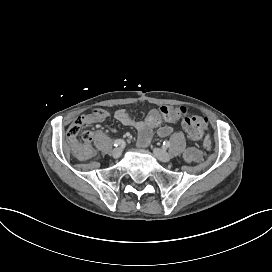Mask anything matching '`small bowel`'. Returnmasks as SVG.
Segmentation results:
<instances>
[{
  "mask_svg": "<svg viewBox=\"0 0 272 272\" xmlns=\"http://www.w3.org/2000/svg\"><path fill=\"white\" fill-rule=\"evenodd\" d=\"M110 116L109 112L101 109L95 108L88 113H84L74 121H80L84 125H94L103 122ZM114 118L119 121L121 124L134 128L138 132V143L140 145H145L151 138L152 129L157 127L161 120H165L168 123H176L179 119L178 109L174 107H161L159 111H151L145 120H136L133 116L124 109H118L114 112ZM114 130V129H111ZM173 132V128L170 125L160 126L157 130V134L160 137H167L171 135ZM67 136L69 141L75 146H87L90 147V143L93 139L92 132H85L82 136L84 140V144H80L77 138H73L67 132ZM91 148V147H90ZM185 157L189 161H196L199 158V152L190 148L186 151Z\"/></svg>",
  "mask_w": 272,
  "mask_h": 272,
  "instance_id": "obj_1",
  "label": "small bowel"
}]
</instances>
